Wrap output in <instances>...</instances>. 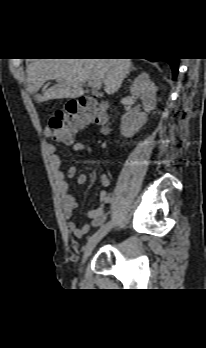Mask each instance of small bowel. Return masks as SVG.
<instances>
[{"label":"small bowel","mask_w":206,"mask_h":348,"mask_svg":"<svg viewBox=\"0 0 206 348\" xmlns=\"http://www.w3.org/2000/svg\"><path fill=\"white\" fill-rule=\"evenodd\" d=\"M71 150L74 152L87 151L92 152L89 145L83 142H74L71 144ZM46 152L49 158V163L52 169L54 182L57 191L61 198L63 215L67 220V230L76 237H82L88 233L92 227L100 225L106 219L105 206L110 203L111 199L105 190H102L99 194V206L88 211V217L90 223L82 227H77L74 221H72L74 211L76 210L78 203L76 197L69 191L67 178L76 177L79 184H85L87 177L85 174L78 173L77 167L72 166L66 172L62 170V162L57 153V149L54 145L48 144ZM100 182L103 187L110 185V180L106 174H101Z\"/></svg>","instance_id":"obj_1"}]
</instances>
